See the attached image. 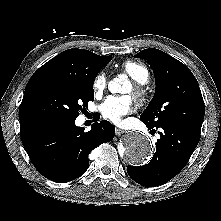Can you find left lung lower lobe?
I'll return each instance as SVG.
<instances>
[{
	"label": "left lung lower lobe",
	"mask_w": 221,
	"mask_h": 221,
	"mask_svg": "<svg viewBox=\"0 0 221 221\" xmlns=\"http://www.w3.org/2000/svg\"><path fill=\"white\" fill-rule=\"evenodd\" d=\"M160 139L152 160L143 166H128L129 176L138 184L154 187L175 177L186 165L200 140V133L179 125L159 128Z\"/></svg>",
	"instance_id": "1"
}]
</instances>
